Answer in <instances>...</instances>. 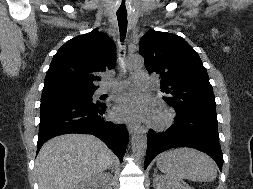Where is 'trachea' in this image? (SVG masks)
<instances>
[{
    "label": "trachea",
    "instance_id": "obj_1",
    "mask_svg": "<svg viewBox=\"0 0 253 189\" xmlns=\"http://www.w3.org/2000/svg\"><path fill=\"white\" fill-rule=\"evenodd\" d=\"M117 20H118L121 39L123 40L127 32V14L117 13Z\"/></svg>",
    "mask_w": 253,
    "mask_h": 189
}]
</instances>
